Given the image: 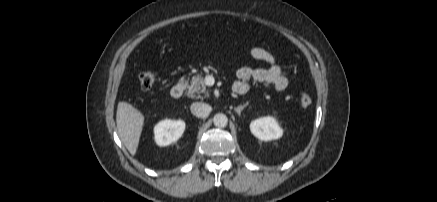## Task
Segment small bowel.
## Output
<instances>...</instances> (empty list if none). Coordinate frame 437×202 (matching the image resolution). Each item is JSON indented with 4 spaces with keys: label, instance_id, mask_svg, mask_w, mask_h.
I'll use <instances>...</instances> for the list:
<instances>
[{
    "label": "small bowel",
    "instance_id": "c3829d8e",
    "mask_svg": "<svg viewBox=\"0 0 437 202\" xmlns=\"http://www.w3.org/2000/svg\"><path fill=\"white\" fill-rule=\"evenodd\" d=\"M249 54L256 60L263 61L269 65L268 68H251L243 66L237 70V81L233 85L236 94H246L252 82L275 91H284L288 86L286 71L278 63L275 56L268 50L261 47H253Z\"/></svg>",
    "mask_w": 437,
    "mask_h": 202
}]
</instances>
